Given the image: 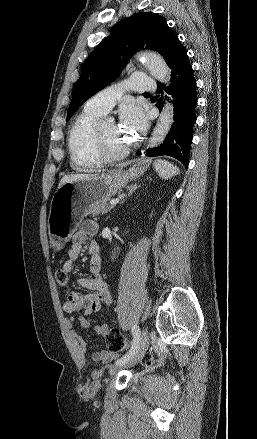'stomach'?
Segmentation results:
<instances>
[{"label": "stomach", "mask_w": 257, "mask_h": 439, "mask_svg": "<svg viewBox=\"0 0 257 439\" xmlns=\"http://www.w3.org/2000/svg\"><path fill=\"white\" fill-rule=\"evenodd\" d=\"M148 166V161L142 159L134 162L127 171L118 168L106 174L67 182L58 187L52 197L48 217V231L52 249L60 251L64 247L79 222L95 202L109 199L129 180L143 175Z\"/></svg>", "instance_id": "obj_1"}]
</instances>
